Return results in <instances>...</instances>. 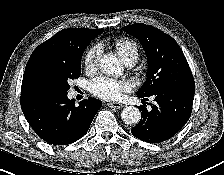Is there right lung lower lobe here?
I'll return each mask as SVG.
<instances>
[{"label": "right lung lower lobe", "mask_w": 224, "mask_h": 175, "mask_svg": "<svg viewBox=\"0 0 224 175\" xmlns=\"http://www.w3.org/2000/svg\"><path fill=\"white\" fill-rule=\"evenodd\" d=\"M68 92L52 89L21 90V108L29 125L44 141L54 145H68L88 131L100 100L89 97L75 106Z\"/></svg>", "instance_id": "right-lung-lower-lobe-1"}]
</instances>
